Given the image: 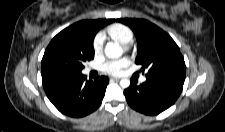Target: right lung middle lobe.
<instances>
[{"instance_id": "obj_1", "label": "right lung middle lobe", "mask_w": 225, "mask_h": 132, "mask_svg": "<svg viewBox=\"0 0 225 132\" xmlns=\"http://www.w3.org/2000/svg\"><path fill=\"white\" fill-rule=\"evenodd\" d=\"M93 39V31L87 25L58 33L45 50L42 75L60 78L80 74L83 62L94 58Z\"/></svg>"}]
</instances>
